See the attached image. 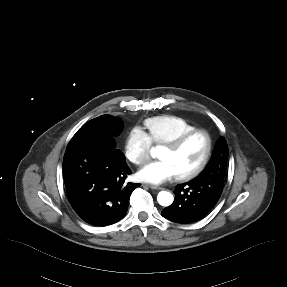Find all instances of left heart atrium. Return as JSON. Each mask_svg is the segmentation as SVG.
Here are the masks:
<instances>
[{"instance_id": "39dd6f15", "label": "left heart atrium", "mask_w": 287, "mask_h": 287, "mask_svg": "<svg viewBox=\"0 0 287 287\" xmlns=\"http://www.w3.org/2000/svg\"><path fill=\"white\" fill-rule=\"evenodd\" d=\"M176 176L177 174L172 165L165 160L150 162L137 172L138 180L155 185L161 184Z\"/></svg>"}]
</instances>
